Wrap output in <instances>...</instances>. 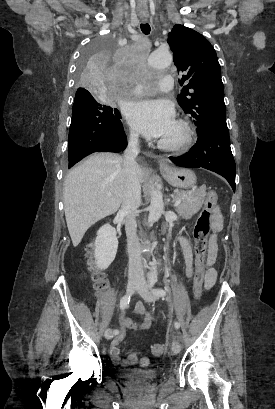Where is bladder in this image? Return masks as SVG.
I'll list each match as a JSON object with an SVG mask.
<instances>
[{
	"label": "bladder",
	"instance_id": "bladder-1",
	"mask_svg": "<svg viewBox=\"0 0 275 409\" xmlns=\"http://www.w3.org/2000/svg\"><path fill=\"white\" fill-rule=\"evenodd\" d=\"M160 374L152 370H139L138 368H128L126 373L121 376L124 382L134 381L143 384H150L153 380L159 378Z\"/></svg>",
	"mask_w": 275,
	"mask_h": 409
}]
</instances>
